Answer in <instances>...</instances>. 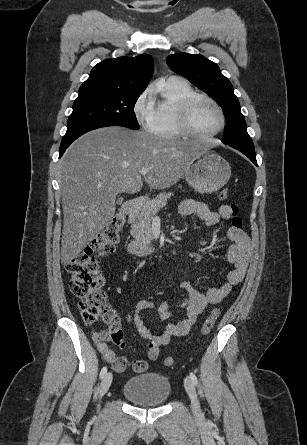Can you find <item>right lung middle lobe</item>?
<instances>
[{
	"label": "right lung middle lobe",
	"mask_w": 307,
	"mask_h": 445,
	"mask_svg": "<svg viewBox=\"0 0 307 445\" xmlns=\"http://www.w3.org/2000/svg\"><path fill=\"white\" fill-rule=\"evenodd\" d=\"M139 96L92 94L78 96L67 130L89 124H107L139 129L134 105Z\"/></svg>",
	"instance_id": "obj_1"
}]
</instances>
